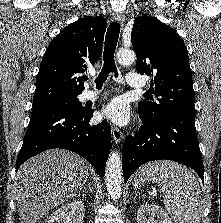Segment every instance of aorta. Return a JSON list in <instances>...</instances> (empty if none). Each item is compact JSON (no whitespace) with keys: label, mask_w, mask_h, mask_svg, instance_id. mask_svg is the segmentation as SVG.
Segmentation results:
<instances>
[{"label":"aorta","mask_w":221,"mask_h":223,"mask_svg":"<svg viewBox=\"0 0 221 223\" xmlns=\"http://www.w3.org/2000/svg\"><path fill=\"white\" fill-rule=\"evenodd\" d=\"M136 59L132 50L121 49L117 52V61L122 65L132 64ZM106 187L113 200H117L122 192V161L117 151H112L106 163Z\"/></svg>","instance_id":"762f6f07"}]
</instances>
